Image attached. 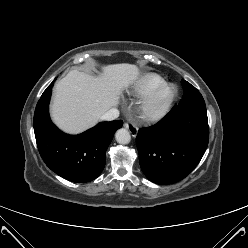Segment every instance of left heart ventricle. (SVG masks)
<instances>
[{
  "label": "left heart ventricle",
  "instance_id": "obj_1",
  "mask_svg": "<svg viewBox=\"0 0 248 248\" xmlns=\"http://www.w3.org/2000/svg\"><path fill=\"white\" fill-rule=\"evenodd\" d=\"M170 91L169 90H165L162 92V94L160 95V101H164L167 99V97L169 96Z\"/></svg>",
  "mask_w": 248,
  "mask_h": 248
}]
</instances>
